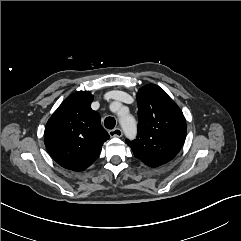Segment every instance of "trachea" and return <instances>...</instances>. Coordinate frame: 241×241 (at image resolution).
I'll return each mask as SVG.
<instances>
[{
	"label": "trachea",
	"mask_w": 241,
	"mask_h": 241,
	"mask_svg": "<svg viewBox=\"0 0 241 241\" xmlns=\"http://www.w3.org/2000/svg\"><path fill=\"white\" fill-rule=\"evenodd\" d=\"M116 120L113 117H107L104 121V125L107 129H113L115 127Z\"/></svg>",
	"instance_id": "1"
}]
</instances>
